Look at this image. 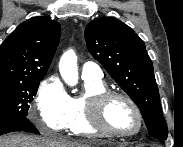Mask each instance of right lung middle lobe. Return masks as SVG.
<instances>
[{
  "label": "right lung middle lobe",
  "mask_w": 183,
  "mask_h": 147,
  "mask_svg": "<svg viewBox=\"0 0 183 147\" xmlns=\"http://www.w3.org/2000/svg\"><path fill=\"white\" fill-rule=\"evenodd\" d=\"M44 77L22 82L0 83V120L26 117L40 81Z\"/></svg>",
  "instance_id": "dd1d6c3e"
}]
</instances>
